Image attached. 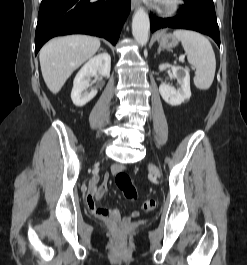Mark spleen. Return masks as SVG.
I'll return each mask as SVG.
<instances>
[{
	"label": "spleen",
	"instance_id": "3e777b00",
	"mask_svg": "<svg viewBox=\"0 0 247 265\" xmlns=\"http://www.w3.org/2000/svg\"><path fill=\"white\" fill-rule=\"evenodd\" d=\"M177 38L187 54L188 62L195 67L194 85L200 90H208L213 83L216 59L209 40L198 32L175 30Z\"/></svg>",
	"mask_w": 247,
	"mask_h": 265
}]
</instances>
